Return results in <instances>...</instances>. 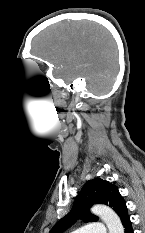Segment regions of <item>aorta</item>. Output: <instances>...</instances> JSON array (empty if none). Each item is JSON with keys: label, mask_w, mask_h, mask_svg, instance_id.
<instances>
[{"label": "aorta", "mask_w": 145, "mask_h": 233, "mask_svg": "<svg viewBox=\"0 0 145 233\" xmlns=\"http://www.w3.org/2000/svg\"><path fill=\"white\" fill-rule=\"evenodd\" d=\"M91 212L98 215L106 224L109 233H124V228L118 215L109 207L97 204L91 208Z\"/></svg>", "instance_id": "762f6f07"}]
</instances>
